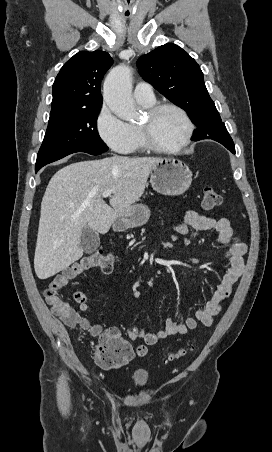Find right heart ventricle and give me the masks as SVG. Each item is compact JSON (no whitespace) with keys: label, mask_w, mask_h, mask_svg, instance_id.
<instances>
[{"label":"right heart ventricle","mask_w":272,"mask_h":452,"mask_svg":"<svg viewBox=\"0 0 272 452\" xmlns=\"http://www.w3.org/2000/svg\"><path fill=\"white\" fill-rule=\"evenodd\" d=\"M139 104H141L145 108H149L153 105V103L148 104V103H142V102H139ZM129 127L132 131V137H131L130 146L126 153H134V152H137V151L145 148V146L142 142L138 126L136 124H129Z\"/></svg>","instance_id":"right-heart-ventricle-1"}]
</instances>
